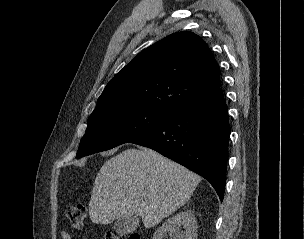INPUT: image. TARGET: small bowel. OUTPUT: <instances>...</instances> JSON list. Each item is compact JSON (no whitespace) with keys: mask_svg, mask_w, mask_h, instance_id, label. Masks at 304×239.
<instances>
[{"mask_svg":"<svg viewBox=\"0 0 304 239\" xmlns=\"http://www.w3.org/2000/svg\"><path fill=\"white\" fill-rule=\"evenodd\" d=\"M60 235H61L62 239H73L71 237V235L67 231H65V230L61 231Z\"/></svg>","mask_w":304,"mask_h":239,"instance_id":"small-bowel-1","label":"small bowel"}]
</instances>
